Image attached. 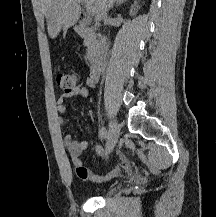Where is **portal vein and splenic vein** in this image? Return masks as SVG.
<instances>
[{
    "mask_svg": "<svg viewBox=\"0 0 216 217\" xmlns=\"http://www.w3.org/2000/svg\"><path fill=\"white\" fill-rule=\"evenodd\" d=\"M81 3L84 4V6H85V8H86V13H87L89 16L94 15V13H93L91 7L89 6V4H88L86 1L81 0Z\"/></svg>",
    "mask_w": 216,
    "mask_h": 217,
    "instance_id": "obj_1",
    "label": "portal vein and splenic vein"
}]
</instances>
